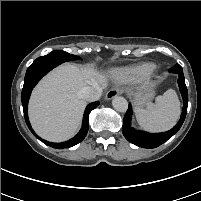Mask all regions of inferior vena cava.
<instances>
[{"mask_svg":"<svg viewBox=\"0 0 201 201\" xmlns=\"http://www.w3.org/2000/svg\"><path fill=\"white\" fill-rule=\"evenodd\" d=\"M102 90H103V87L99 85L85 87L83 90V97L85 100L90 102L97 101L100 99L102 95Z\"/></svg>","mask_w":201,"mask_h":201,"instance_id":"inferior-vena-cava-1","label":"inferior vena cava"}]
</instances>
